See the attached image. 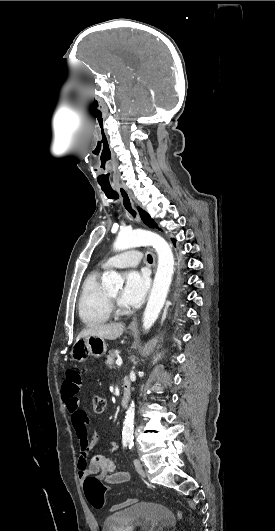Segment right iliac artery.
Returning <instances> with one entry per match:
<instances>
[{"mask_svg":"<svg viewBox=\"0 0 275 531\" xmlns=\"http://www.w3.org/2000/svg\"><path fill=\"white\" fill-rule=\"evenodd\" d=\"M127 440H123V447H126L127 446Z\"/></svg>","mask_w":275,"mask_h":531,"instance_id":"82829eb1","label":"right iliac artery"}]
</instances>
